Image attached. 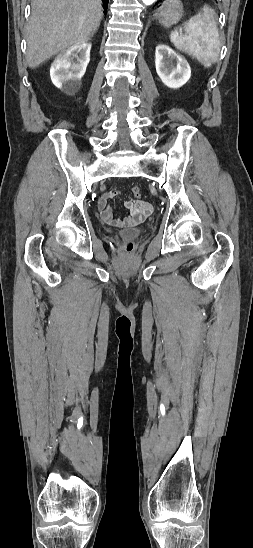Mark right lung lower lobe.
Here are the masks:
<instances>
[{
	"label": "right lung lower lobe",
	"instance_id": "right-lung-lower-lobe-1",
	"mask_svg": "<svg viewBox=\"0 0 253 548\" xmlns=\"http://www.w3.org/2000/svg\"><path fill=\"white\" fill-rule=\"evenodd\" d=\"M102 1H103V3H104L105 8L107 9V7H108V1H109V0H102Z\"/></svg>",
	"mask_w": 253,
	"mask_h": 548
}]
</instances>
